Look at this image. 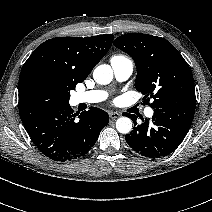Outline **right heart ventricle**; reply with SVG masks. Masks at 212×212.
Returning <instances> with one entry per match:
<instances>
[{
	"label": "right heart ventricle",
	"instance_id": "e07e8e85",
	"mask_svg": "<svg viewBox=\"0 0 212 212\" xmlns=\"http://www.w3.org/2000/svg\"><path fill=\"white\" fill-rule=\"evenodd\" d=\"M120 57H122V56H114L113 58H120Z\"/></svg>",
	"mask_w": 212,
	"mask_h": 212
}]
</instances>
